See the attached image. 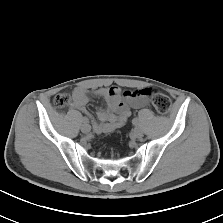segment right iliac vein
<instances>
[{
	"label": "right iliac vein",
	"instance_id": "63e3f726",
	"mask_svg": "<svg viewBox=\"0 0 223 223\" xmlns=\"http://www.w3.org/2000/svg\"><path fill=\"white\" fill-rule=\"evenodd\" d=\"M91 130V127L89 124H83L81 127V131L85 134L89 133Z\"/></svg>",
	"mask_w": 223,
	"mask_h": 223
}]
</instances>
